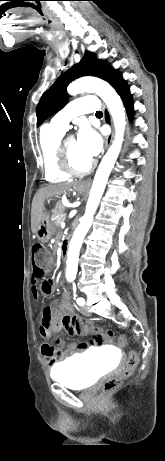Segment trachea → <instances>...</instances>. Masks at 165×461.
<instances>
[{
  "mask_svg": "<svg viewBox=\"0 0 165 461\" xmlns=\"http://www.w3.org/2000/svg\"><path fill=\"white\" fill-rule=\"evenodd\" d=\"M96 115H102V112H101V111H97V112H96Z\"/></svg>",
  "mask_w": 165,
  "mask_h": 461,
  "instance_id": "1",
  "label": "trachea"
}]
</instances>
